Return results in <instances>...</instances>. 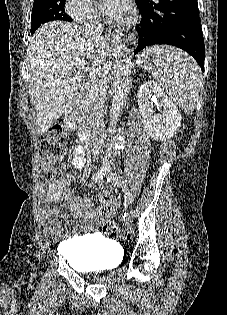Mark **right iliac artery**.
I'll return each mask as SVG.
<instances>
[{
  "label": "right iliac artery",
  "instance_id": "1",
  "mask_svg": "<svg viewBox=\"0 0 227 315\" xmlns=\"http://www.w3.org/2000/svg\"><path fill=\"white\" fill-rule=\"evenodd\" d=\"M105 175H106V170L101 169L92 176V181L95 183L98 181H101L105 177Z\"/></svg>",
  "mask_w": 227,
  "mask_h": 315
}]
</instances>
